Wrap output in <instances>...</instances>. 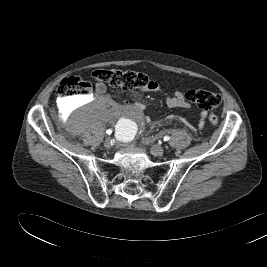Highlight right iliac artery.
<instances>
[{"mask_svg":"<svg viewBox=\"0 0 267 267\" xmlns=\"http://www.w3.org/2000/svg\"><path fill=\"white\" fill-rule=\"evenodd\" d=\"M111 133H112V129H108L107 134H111Z\"/></svg>","mask_w":267,"mask_h":267,"instance_id":"right-iliac-artery-1","label":"right iliac artery"}]
</instances>
